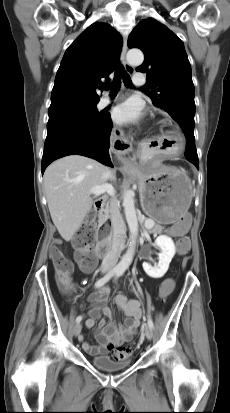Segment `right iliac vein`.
<instances>
[{"label":"right iliac vein","instance_id":"obj_1","mask_svg":"<svg viewBox=\"0 0 230 413\" xmlns=\"http://www.w3.org/2000/svg\"><path fill=\"white\" fill-rule=\"evenodd\" d=\"M81 329H82V326H81L80 323L75 324L74 327H73V334L75 336H78L81 332Z\"/></svg>","mask_w":230,"mask_h":413}]
</instances>
